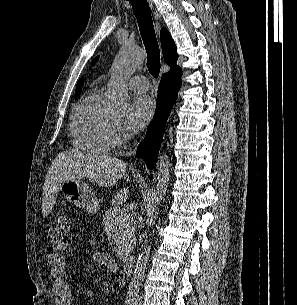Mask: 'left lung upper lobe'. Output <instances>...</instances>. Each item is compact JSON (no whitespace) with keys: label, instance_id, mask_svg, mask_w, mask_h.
Listing matches in <instances>:
<instances>
[{"label":"left lung upper lobe","instance_id":"left-lung-upper-lobe-1","mask_svg":"<svg viewBox=\"0 0 297 305\" xmlns=\"http://www.w3.org/2000/svg\"><path fill=\"white\" fill-rule=\"evenodd\" d=\"M97 60H98V57H96V58L93 60L92 65H94L95 62H96Z\"/></svg>","mask_w":297,"mask_h":305}]
</instances>
